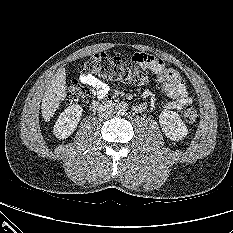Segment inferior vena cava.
<instances>
[{"label": "inferior vena cava", "mask_w": 233, "mask_h": 233, "mask_svg": "<svg viewBox=\"0 0 233 233\" xmlns=\"http://www.w3.org/2000/svg\"><path fill=\"white\" fill-rule=\"evenodd\" d=\"M113 107L110 105L101 106L98 110L100 117L108 118L113 114Z\"/></svg>", "instance_id": "obj_1"}]
</instances>
